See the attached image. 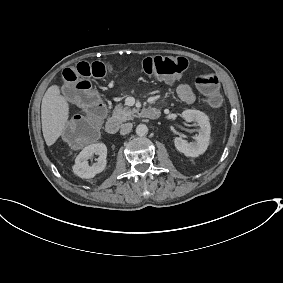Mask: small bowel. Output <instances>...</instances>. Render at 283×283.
<instances>
[{"instance_id": "small-bowel-1", "label": "small bowel", "mask_w": 283, "mask_h": 283, "mask_svg": "<svg viewBox=\"0 0 283 283\" xmlns=\"http://www.w3.org/2000/svg\"><path fill=\"white\" fill-rule=\"evenodd\" d=\"M176 93L178 97L185 103H193L195 101V93L192 87L188 84H180L177 89Z\"/></svg>"}]
</instances>
